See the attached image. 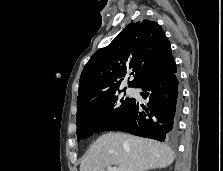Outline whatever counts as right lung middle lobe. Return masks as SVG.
Segmentation results:
<instances>
[{
    "instance_id": "dd1d6c3e",
    "label": "right lung middle lobe",
    "mask_w": 223,
    "mask_h": 171,
    "mask_svg": "<svg viewBox=\"0 0 223 171\" xmlns=\"http://www.w3.org/2000/svg\"><path fill=\"white\" fill-rule=\"evenodd\" d=\"M133 99L120 98L117 93L100 98L77 109V141L102 132L117 122L130 108Z\"/></svg>"
}]
</instances>
